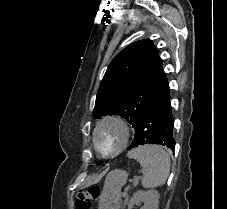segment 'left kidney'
I'll use <instances>...</instances> for the list:
<instances>
[{"mask_svg": "<svg viewBox=\"0 0 227 209\" xmlns=\"http://www.w3.org/2000/svg\"><path fill=\"white\" fill-rule=\"evenodd\" d=\"M144 203L142 209H158L159 193L157 191H137L128 203V209H134V205Z\"/></svg>", "mask_w": 227, "mask_h": 209, "instance_id": "1", "label": "left kidney"}]
</instances>
